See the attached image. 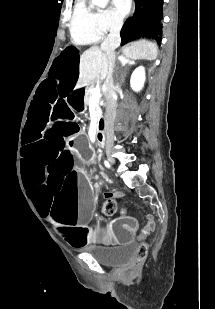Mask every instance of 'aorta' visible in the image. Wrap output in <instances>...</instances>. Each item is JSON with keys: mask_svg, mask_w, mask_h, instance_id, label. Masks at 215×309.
<instances>
[{"mask_svg": "<svg viewBox=\"0 0 215 309\" xmlns=\"http://www.w3.org/2000/svg\"><path fill=\"white\" fill-rule=\"evenodd\" d=\"M108 2L109 0H92V4H96V6H100V8H105Z\"/></svg>", "mask_w": 215, "mask_h": 309, "instance_id": "aorta-1", "label": "aorta"}]
</instances>
